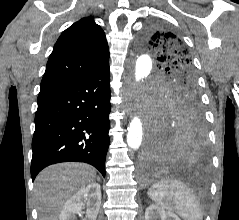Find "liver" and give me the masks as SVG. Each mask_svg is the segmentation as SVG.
<instances>
[{"instance_id": "liver-1", "label": "liver", "mask_w": 239, "mask_h": 220, "mask_svg": "<svg viewBox=\"0 0 239 220\" xmlns=\"http://www.w3.org/2000/svg\"><path fill=\"white\" fill-rule=\"evenodd\" d=\"M95 177V169L82 163H60L41 171L35 180L39 220H58L70 196Z\"/></svg>"}]
</instances>
